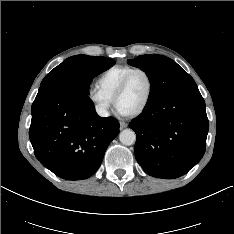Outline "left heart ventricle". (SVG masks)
Instances as JSON below:
<instances>
[{
  "label": "left heart ventricle",
  "instance_id": "1",
  "mask_svg": "<svg viewBox=\"0 0 234 234\" xmlns=\"http://www.w3.org/2000/svg\"><path fill=\"white\" fill-rule=\"evenodd\" d=\"M148 86L146 75L142 72L135 73L131 77L126 91L118 99L117 108L125 113L138 109L146 98Z\"/></svg>",
  "mask_w": 234,
  "mask_h": 234
}]
</instances>
